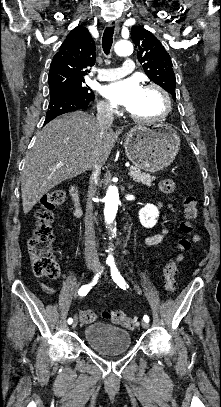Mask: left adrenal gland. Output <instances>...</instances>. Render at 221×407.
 <instances>
[{
    "mask_svg": "<svg viewBox=\"0 0 221 407\" xmlns=\"http://www.w3.org/2000/svg\"><path fill=\"white\" fill-rule=\"evenodd\" d=\"M131 188H133V185H129V186H128V189H131Z\"/></svg>",
    "mask_w": 221,
    "mask_h": 407,
    "instance_id": "left-adrenal-gland-1",
    "label": "left adrenal gland"
}]
</instances>
